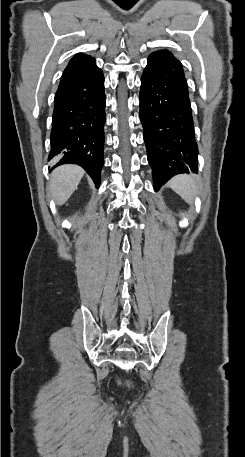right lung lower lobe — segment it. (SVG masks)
<instances>
[{"label": "right lung lower lobe", "instance_id": "1", "mask_svg": "<svg viewBox=\"0 0 245 457\" xmlns=\"http://www.w3.org/2000/svg\"><path fill=\"white\" fill-rule=\"evenodd\" d=\"M102 70L62 78L54 99L51 150L48 160L78 164L100 184L105 125Z\"/></svg>", "mask_w": 245, "mask_h": 457}]
</instances>
